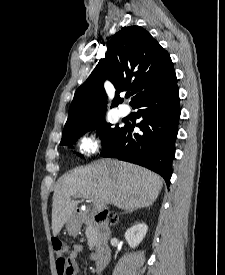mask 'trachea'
<instances>
[{
    "label": "trachea",
    "mask_w": 225,
    "mask_h": 275,
    "mask_svg": "<svg viewBox=\"0 0 225 275\" xmlns=\"http://www.w3.org/2000/svg\"><path fill=\"white\" fill-rule=\"evenodd\" d=\"M126 97H127V98L130 97V94H127Z\"/></svg>",
    "instance_id": "obj_1"
}]
</instances>
